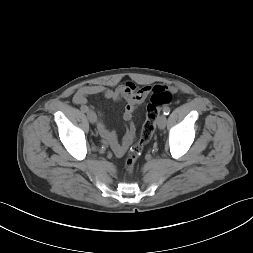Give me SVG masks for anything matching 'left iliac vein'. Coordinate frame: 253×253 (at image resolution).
Returning <instances> with one entry per match:
<instances>
[{
    "instance_id": "1",
    "label": "left iliac vein",
    "mask_w": 253,
    "mask_h": 253,
    "mask_svg": "<svg viewBox=\"0 0 253 253\" xmlns=\"http://www.w3.org/2000/svg\"><path fill=\"white\" fill-rule=\"evenodd\" d=\"M166 122H167L166 116L161 115L157 120V124H158L159 129H164L166 126Z\"/></svg>"
}]
</instances>
